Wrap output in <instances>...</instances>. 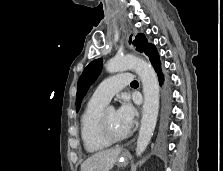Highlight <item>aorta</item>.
<instances>
[{
    "instance_id": "1",
    "label": "aorta",
    "mask_w": 223,
    "mask_h": 171,
    "mask_svg": "<svg viewBox=\"0 0 223 171\" xmlns=\"http://www.w3.org/2000/svg\"><path fill=\"white\" fill-rule=\"evenodd\" d=\"M126 69H133L140 77L143 85V115L136 147V155L141 156L149 144L156 126L160 87L154 68L141 58L135 56L115 57L106 64V70L109 73Z\"/></svg>"
}]
</instances>
